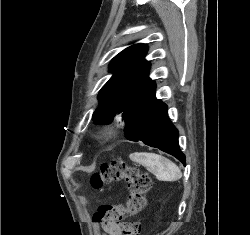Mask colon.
<instances>
[{
    "label": "colon",
    "mask_w": 250,
    "mask_h": 235,
    "mask_svg": "<svg viewBox=\"0 0 250 235\" xmlns=\"http://www.w3.org/2000/svg\"><path fill=\"white\" fill-rule=\"evenodd\" d=\"M120 181H124L127 186L126 203L100 206L93 216L94 222L102 225H118L123 235H140V223L130 217L137 215L145 207L151 179L123 161L104 164L91 177V184L95 189Z\"/></svg>",
    "instance_id": "5ec220e1"
}]
</instances>
